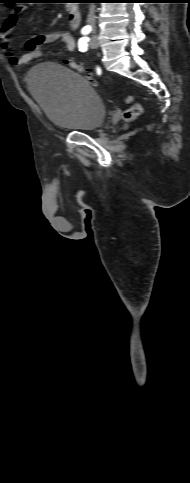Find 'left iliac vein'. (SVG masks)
I'll return each instance as SVG.
<instances>
[{"label":"left iliac vein","instance_id":"obj_1","mask_svg":"<svg viewBox=\"0 0 190 483\" xmlns=\"http://www.w3.org/2000/svg\"><path fill=\"white\" fill-rule=\"evenodd\" d=\"M89 45L92 49H96L98 47V40L96 36L91 38Z\"/></svg>","mask_w":190,"mask_h":483}]
</instances>
